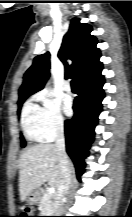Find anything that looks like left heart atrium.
<instances>
[{
    "label": "left heart atrium",
    "instance_id": "1",
    "mask_svg": "<svg viewBox=\"0 0 132 217\" xmlns=\"http://www.w3.org/2000/svg\"><path fill=\"white\" fill-rule=\"evenodd\" d=\"M63 109L66 114H70L72 111V100L70 97H66L63 100Z\"/></svg>",
    "mask_w": 132,
    "mask_h": 217
}]
</instances>
